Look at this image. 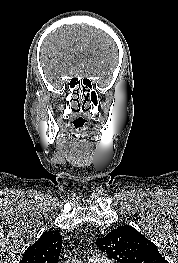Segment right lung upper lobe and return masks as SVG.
I'll use <instances>...</instances> for the list:
<instances>
[{
    "instance_id": "right-lung-upper-lobe-1",
    "label": "right lung upper lobe",
    "mask_w": 178,
    "mask_h": 263,
    "mask_svg": "<svg viewBox=\"0 0 178 263\" xmlns=\"http://www.w3.org/2000/svg\"><path fill=\"white\" fill-rule=\"evenodd\" d=\"M62 248V237L57 231H47L27 248L20 263H57Z\"/></svg>"
}]
</instances>
